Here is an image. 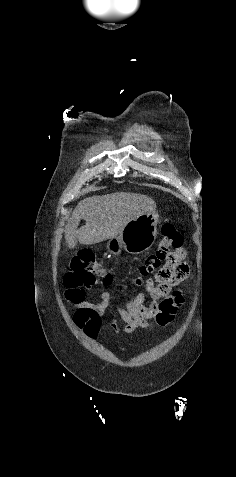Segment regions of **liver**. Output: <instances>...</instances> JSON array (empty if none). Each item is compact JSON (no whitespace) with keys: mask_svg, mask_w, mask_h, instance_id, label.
<instances>
[{"mask_svg":"<svg viewBox=\"0 0 236 477\" xmlns=\"http://www.w3.org/2000/svg\"><path fill=\"white\" fill-rule=\"evenodd\" d=\"M155 210L153 199L137 193L116 192L85 198L78 203L66 224V243L74 248L77 241L91 245L114 238L131 220ZM82 219L86 224L77 229Z\"/></svg>","mask_w":236,"mask_h":477,"instance_id":"obj_1","label":"liver"}]
</instances>
